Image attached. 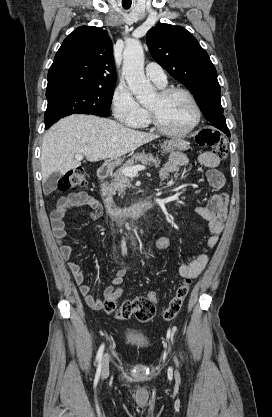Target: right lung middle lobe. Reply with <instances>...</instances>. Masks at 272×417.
<instances>
[{
    "label": "right lung middle lobe",
    "mask_w": 272,
    "mask_h": 417,
    "mask_svg": "<svg viewBox=\"0 0 272 417\" xmlns=\"http://www.w3.org/2000/svg\"><path fill=\"white\" fill-rule=\"evenodd\" d=\"M114 86L108 88H64L46 92L45 127L71 114L110 116Z\"/></svg>",
    "instance_id": "1"
}]
</instances>
